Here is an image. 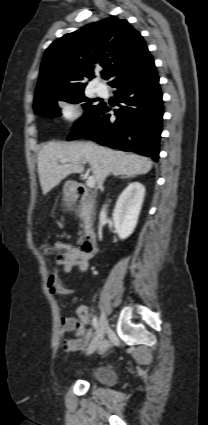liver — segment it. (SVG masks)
<instances>
[{"label": "liver", "instance_id": "obj_1", "mask_svg": "<svg viewBox=\"0 0 208 425\" xmlns=\"http://www.w3.org/2000/svg\"><path fill=\"white\" fill-rule=\"evenodd\" d=\"M61 159L88 162L99 187H102L110 173L134 177L148 173L153 165L147 157L115 151L92 142H50L42 147L37 156L39 180L44 195L68 175L84 170L80 163L60 164Z\"/></svg>", "mask_w": 208, "mask_h": 425}]
</instances>
